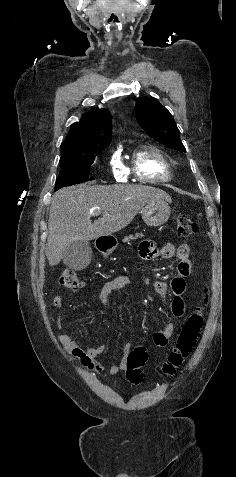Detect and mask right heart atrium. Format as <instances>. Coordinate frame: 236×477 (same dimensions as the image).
I'll return each instance as SVG.
<instances>
[{
	"instance_id": "right-heart-atrium-1",
	"label": "right heart atrium",
	"mask_w": 236,
	"mask_h": 477,
	"mask_svg": "<svg viewBox=\"0 0 236 477\" xmlns=\"http://www.w3.org/2000/svg\"><path fill=\"white\" fill-rule=\"evenodd\" d=\"M110 166L116 179L120 181H124L126 179L128 172L117 157L111 158Z\"/></svg>"
}]
</instances>
